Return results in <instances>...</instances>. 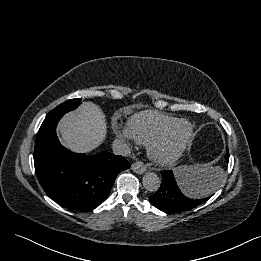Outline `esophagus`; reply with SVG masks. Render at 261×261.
Wrapping results in <instances>:
<instances>
[{"instance_id":"obj_1","label":"esophagus","mask_w":261,"mask_h":261,"mask_svg":"<svg viewBox=\"0 0 261 261\" xmlns=\"http://www.w3.org/2000/svg\"><path fill=\"white\" fill-rule=\"evenodd\" d=\"M131 169L138 174H143L147 168L142 161H136L132 164Z\"/></svg>"}]
</instances>
